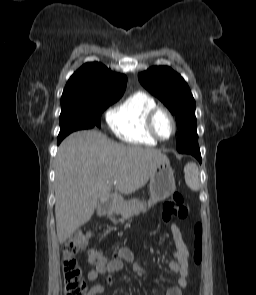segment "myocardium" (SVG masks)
<instances>
[{"label":"myocardium","instance_id":"obj_1","mask_svg":"<svg viewBox=\"0 0 256 295\" xmlns=\"http://www.w3.org/2000/svg\"><path fill=\"white\" fill-rule=\"evenodd\" d=\"M161 114L166 115L172 124V133L169 138L161 137L156 129V120H157V117ZM146 125H147V129L150 132V134L157 141H160V142H167V141L171 140L177 132V123H176V120H175V117L173 116V114L169 110H167L166 108L159 107V106L154 108L153 110H151L148 113V116L146 119Z\"/></svg>","mask_w":256,"mask_h":295}]
</instances>
